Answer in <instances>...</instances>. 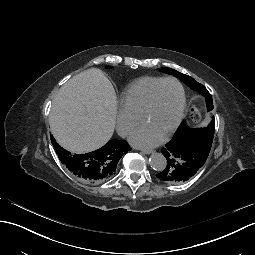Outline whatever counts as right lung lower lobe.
<instances>
[{
    "label": "right lung lower lobe",
    "instance_id": "obj_1",
    "mask_svg": "<svg viewBox=\"0 0 255 255\" xmlns=\"http://www.w3.org/2000/svg\"><path fill=\"white\" fill-rule=\"evenodd\" d=\"M100 176V159L92 155L83 157V177L87 180Z\"/></svg>",
    "mask_w": 255,
    "mask_h": 255
}]
</instances>
